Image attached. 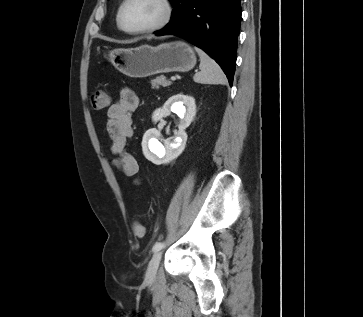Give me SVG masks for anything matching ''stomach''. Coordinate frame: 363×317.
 I'll list each match as a JSON object with an SVG mask.
<instances>
[{
  "instance_id": "0dacf381",
  "label": "stomach",
  "mask_w": 363,
  "mask_h": 317,
  "mask_svg": "<svg viewBox=\"0 0 363 317\" xmlns=\"http://www.w3.org/2000/svg\"><path fill=\"white\" fill-rule=\"evenodd\" d=\"M108 57L117 70L134 78L158 73L187 72L196 64L193 49L183 41L162 43L156 47L141 45L115 49Z\"/></svg>"
}]
</instances>
